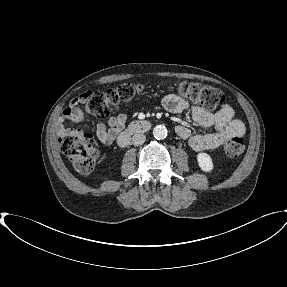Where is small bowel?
I'll return each mask as SVG.
<instances>
[{"label": "small bowel", "mask_w": 287, "mask_h": 287, "mask_svg": "<svg viewBox=\"0 0 287 287\" xmlns=\"http://www.w3.org/2000/svg\"><path fill=\"white\" fill-rule=\"evenodd\" d=\"M88 97V93L81 94L71 100L57 119V131L65 133L70 130L65 126V121L82 122L85 120L79 104ZM164 108L171 113H181L190 108L188 102L176 94H169L163 98ZM193 121L211 130L208 133L192 134L191 129L184 124L176 126L177 135L187 140L190 147L196 151L215 149L220 147L227 139L244 134V124L234 117V110L228 104L222 105L216 112H209L200 107H191ZM127 117L124 113L109 117L105 122L96 126V135L101 143L110 146L119 137L125 128Z\"/></svg>", "instance_id": "obj_1"}]
</instances>
